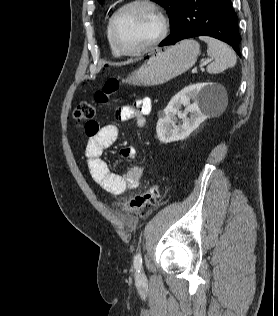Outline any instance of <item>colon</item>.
I'll use <instances>...</instances> for the list:
<instances>
[{"label": "colon", "instance_id": "5ec220e1", "mask_svg": "<svg viewBox=\"0 0 278 316\" xmlns=\"http://www.w3.org/2000/svg\"><path fill=\"white\" fill-rule=\"evenodd\" d=\"M119 88V82L115 78H110L104 87L95 93L94 99L98 104H105L109 97ZM96 109L87 102L79 103L73 111V119L77 123H84V133L87 136L95 134L98 129V123L95 121ZM159 197V187L154 184L149 186L143 193L128 198L123 206L124 209L132 214H138L149 210L154 206Z\"/></svg>", "mask_w": 278, "mask_h": 316}]
</instances>
